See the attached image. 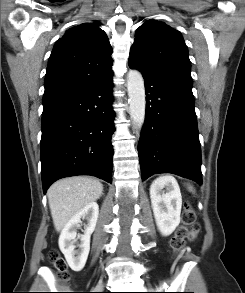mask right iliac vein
Here are the masks:
<instances>
[{
    "label": "right iliac vein",
    "mask_w": 245,
    "mask_h": 293,
    "mask_svg": "<svg viewBox=\"0 0 245 293\" xmlns=\"http://www.w3.org/2000/svg\"><path fill=\"white\" fill-rule=\"evenodd\" d=\"M103 288V284L102 283H99L96 287L97 290H101Z\"/></svg>",
    "instance_id": "obj_1"
}]
</instances>
